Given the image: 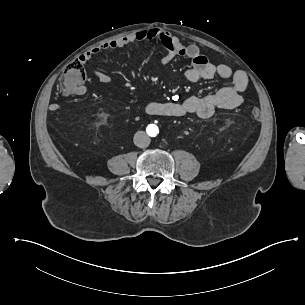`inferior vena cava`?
<instances>
[{
  "mask_svg": "<svg viewBox=\"0 0 305 305\" xmlns=\"http://www.w3.org/2000/svg\"><path fill=\"white\" fill-rule=\"evenodd\" d=\"M133 141L139 148H146L150 144V138L144 131L136 132Z\"/></svg>",
  "mask_w": 305,
  "mask_h": 305,
  "instance_id": "1",
  "label": "inferior vena cava"
}]
</instances>
